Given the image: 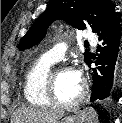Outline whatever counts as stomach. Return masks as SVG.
<instances>
[{"instance_id": "stomach-1", "label": "stomach", "mask_w": 122, "mask_h": 123, "mask_svg": "<svg viewBox=\"0 0 122 123\" xmlns=\"http://www.w3.org/2000/svg\"><path fill=\"white\" fill-rule=\"evenodd\" d=\"M85 122H86V117L83 114V112H80L72 116H66L58 120L56 123H85Z\"/></svg>"}]
</instances>
